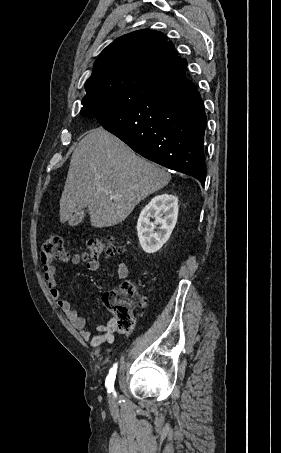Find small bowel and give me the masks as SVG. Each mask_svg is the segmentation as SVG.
<instances>
[{"label": "small bowel", "mask_w": 281, "mask_h": 453, "mask_svg": "<svg viewBox=\"0 0 281 453\" xmlns=\"http://www.w3.org/2000/svg\"><path fill=\"white\" fill-rule=\"evenodd\" d=\"M91 272H99L100 266L97 262H89L87 265ZM43 279L46 282L50 296L57 301L59 308L64 312L67 318L73 323L75 328L81 332L83 339L87 340L93 348H99L104 343L111 344L113 341V329L115 327L113 320L107 324L98 325L96 332L86 329L87 320L78 314L71 302L63 297V293L55 279V268L49 261L42 264ZM128 267L125 263H120L117 268V278L126 279Z\"/></svg>", "instance_id": "1"}]
</instances>
